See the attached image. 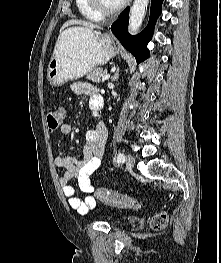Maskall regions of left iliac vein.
I'll return each mask as SVG.
<instances>
[{
    "instance_id": "1",
    "label": "left iliac vein",
    "mask_w": 221,
    "mask_h": 263,
    "mask_svg": "<svg viewBox=\"0 0 221 263\" xmlns=\"http://www.w3.org/2000/svg\"><path fill=\"white\" fill-rule=\"evenodd\" d=\"M125 163L127 167L132 168L135 164V158L131 154H128Z\"/></svg>"
}]
</instances>
